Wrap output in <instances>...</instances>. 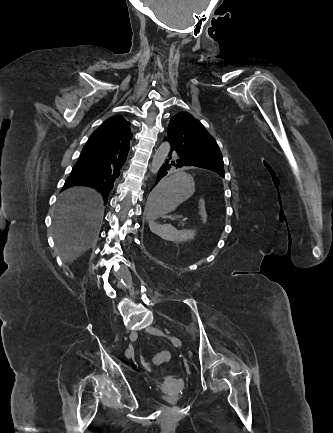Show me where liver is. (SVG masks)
<instances>
[{
  "mask_svg": "<svg viewBox=\"0 0 333 433\" xmlns=\"http://www.w3.org/2000/svg\"><path fill=\"white\" fill-rule=\"evenodd\" d=\"M103 214V198L96 190L77 186L62 192L55 207L53 232L63 261L74 262L96 244Z\"/></svg>",
  "mask_w": 333,
  "mask_h": 433,
  "instance_id": "liver-1",
  "label": "liver"
}]
</instances>
